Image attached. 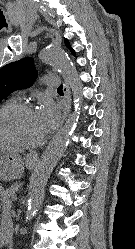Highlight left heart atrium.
Listing matches in <instances>:
<instances>
[{
    "label": "left heart atrium",
    "mask_w": 135,
    "mask_h": 249,
    "mask_svg": "<svg viewBox=\"0 0 135 249\" xmlns=\"http://www.w3.org/2000/svg\"><path fill=\"white\" fill-rule=\"evenodd\" d=\"M36 114L42 133L45 134L52 130L58 123L60 110L52 100L45 99L36 111Z\"/></svg>",
    "instance_id": "1"
}]
</instances>
